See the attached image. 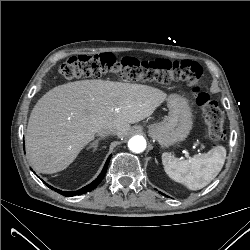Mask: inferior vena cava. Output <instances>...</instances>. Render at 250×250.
Instances as JSON below:
<instances>
[{"instance_id":"602c4592","label":"inferior vena cava","mask_w":250,"mask_h":250,"mask_svg":"<svg viewBox=\"0 0 250 250\" xmlns=\"http://www.w3.org/2000/svg\"><path fill=\"white\" fill-rule=\"evenodd\" d=\"M97 134L99 136L115 135L116 131L113 128H109V129L99 130Z\"/></svg>"}]
</instances>
